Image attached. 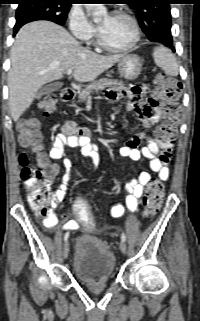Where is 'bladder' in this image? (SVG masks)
<instances>
[{
    "instance_id": "bladder-1",
    "label": "bladder",
    "mask_w": 200,
    "mask_h": 321,
    "mask_svg": "<svg viewBox=\"0 0 200 321\" xmlns=\"http://www.w3.org/2000/svg\"><path fill=\"white\" fill-rule=\"evenodd\" d=\"M73 270L84 283L107 282L114 275L115 258L102 240L81 234L74 241Z\"/></svg>"
}]
</instances>
